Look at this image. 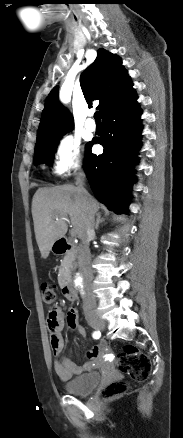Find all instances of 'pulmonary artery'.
Segmentation results:
<instances>
[{
	"mask_svg": "<svg viewBox=\"0 0 183 438\" xmlns=\"http://www.w3.org/2000/svg\"><path fill=\"white\" fill-rule=\"evenodd\" d=\"M85 127L89 131H95L96 130V124L92 119H87L85 122Z\"/></svg>",
	"mask_w": 183,
	"mask_h": 438,
	"instance_id": "pulmonary-artery-1",
	"label": "pulmonary artery"
}]
</instances>
